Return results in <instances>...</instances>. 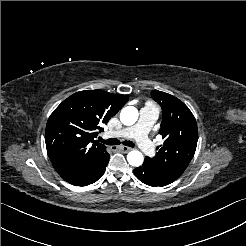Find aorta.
I'll use <instances>...</instances> for the list:
<instances>
[{
    "label": "aorta",
    "mask_w": 246,
    "mask_h": 246,
    "mask_svg": "<svg viewBox=\"0 0 246 246\" xmlns=\"http://www.w3.org/2000/svg\"><path fill=\"white\" fill-rule=\"evenodd\" d=\"M138 110L134 106H127L121 110L120 120L124 125H133L138 119ZM127 161L131 166L139 167L142 165L144 158L141 152L131 151L127 155Z\"/></svg>",
    "instance_id": "obj_1"
}]
</instances>
